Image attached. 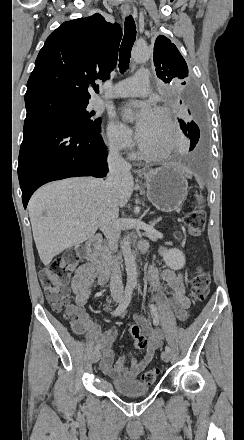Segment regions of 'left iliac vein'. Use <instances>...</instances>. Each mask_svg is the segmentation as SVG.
<instances>
[{
	"label": "left iliac vein",
	"instance_id": "4c4485c4",
	"mask_svg": "<svg viewBox=\"0 0 244 440\" xmlns=\"http://www.w3.org/2000/svg\"><path fill=\"white\" fill-rule=\"evenodd\" d=\"M161 358H162L163 361L168 362L170 360V352L162 351L161 352Z\"/></svg>",
	"mask_w": 244,
	"mask_h": 440
}]
</instances>
